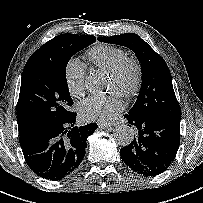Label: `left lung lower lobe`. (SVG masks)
<instances>
[{"label": "left lung lower lobe", "instance_id": "0a47b994", "mask_svg": "<svg viewBox=\"0 0 203 203\" xmlns=\"http://www.w3.org/2000/svg\"><path fill=\"white\" fill-rule=\"evenodd\" d=\"M124 117L136 135L128 146L120 149L122 160L144 176L164 172L179 148L181 116L150 118L126 114Z\"/></svg>", "mask_w": 203, "mask_h": 203}]
</instances>
